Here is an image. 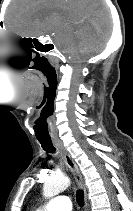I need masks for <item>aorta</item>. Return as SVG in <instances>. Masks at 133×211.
Here are the masks:
<instances>
[{
    "label": "aorta",
    "mask_w": 133,
    "mask_h": 211,
    "mask_svg": "<svg viewBox=\"0 0 133 211\" xmlns=\"http://www.w3.org/2000/svg\"><path fill=\"white\" fill-rule=\"evenodd\" d=\"M70 186V179L63 175L52 176L43 185V195L51 198Z\"/></svg>",
    "instance_id": "aorta-1"
}]
</instances>
